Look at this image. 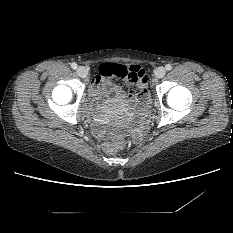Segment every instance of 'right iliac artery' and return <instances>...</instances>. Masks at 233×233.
I'll return each mask as SVG.
<instances>
[{
    "instance_id": "right-iliac-artery-1",
    "label": "right iliac artery",
    "mask_w": 233,
    "mask_h": 233,
    "mask_svg": "<svg viewBox=\"0 0 233 233\" xmlns=\"http://www.w3.org/2000/svg\"><path fill=\"white\" fill-rule=\"evenodd\" d=\"M71 67H72L73 69H76V68H77V64H76L75 62H73V63L71 64Z\"/></svg>"
}]
</instances>
